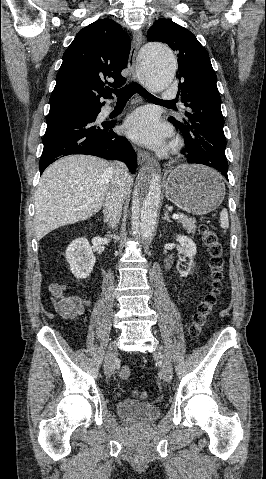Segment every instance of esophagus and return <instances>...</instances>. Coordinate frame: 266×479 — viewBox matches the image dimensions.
<instances>
[{
    "label": "esophagus",
    "mask_w": 266,
    "mask_h": 479,
    "mask_svg": "<svg viewBox=\"0 0 266 479\" xmlns=\"http://www.w3.org/2000/svg\"><path fill=\"white\" fill-rule=\"evenodd\" d=\"M142 39H143L142 33L139 30L134 31L133 39L131 43V50H130L129 59H128V69L130 71L131 81H137V74L135 70V59H136L137 52L141 46ZM137 159H138L139 165H143L145 162L149 164L152 163V158L150 154L142 150H138Z\"/></svg>",
    "instance_id": "esophagus-1"
}]
</instances>
